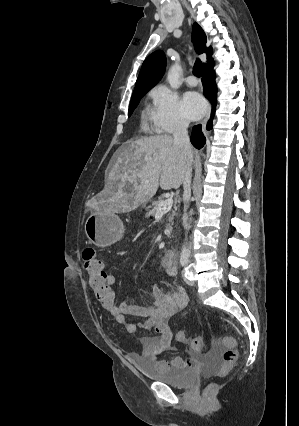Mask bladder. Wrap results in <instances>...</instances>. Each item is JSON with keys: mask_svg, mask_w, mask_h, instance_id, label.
I'll return each instance as SVG.
<instances>
[{"mask_svg": "<svg viewBox=\"0 0 299 426\" xmlns=\"http://www.w3.org/2000/svg\"><path fill=\"white\" fill-rule=\"evenodd\" d=\"M138 364L140 371L149 379L162 382L173 387L187 389L191 387L196 379L197 374L191 368H181L169 366L164 369L155 367L145 361H133Z\"/></svg>", "mask_w": 299, "mask_h": 426, "instance_id": "obj_1", "label": "bladder"}]
</instances>
